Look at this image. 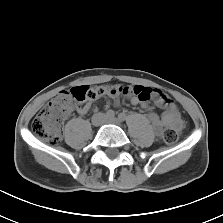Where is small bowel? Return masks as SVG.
Masks as SVG:
<instances>
[{"instance_id":"small-bowel-1","label":"small bowel","mask_w":223,"mask_h":223,"mask_svg":"<svg viewBox=\"0 0 223 223\" xmlns=\"http://www.w3.org/2000/svg\"><path fill=\"white\" fill-rule=\"evenodd\" d=\"M130 98V101L133 105H140L143 109H150V104L146 102H141L131 93V88L129 91L124 93ZM153 100L155 104L161 108H164V112L159 115L155 112L149 114V120L156 129L157 132H160L164 127H173L177 130H181L184 126L183 120L180 116V113L170 98L162 94L159 90H153ZM113 103L115 106H119V99L116 94L111 95ZM92 107V103H86L84 106L77 109L78 113L81 115L86 114Z\"/></svg>"}]
</instances>
